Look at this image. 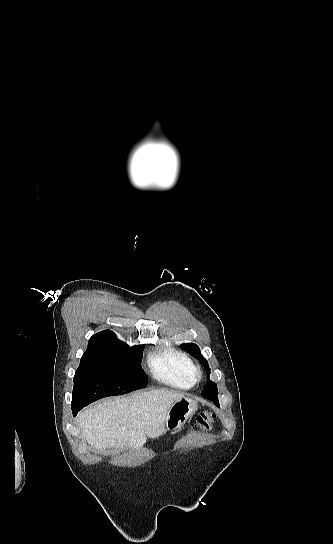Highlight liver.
<instances>
[{
    "label": "liver",
    "mask_w": 333,
    "mask_h": 544,
    "mask_svg": "<svg viewBox=\"0 0 333 544\" xmlns=\"http://www.w3.org/2000/svg\"><path fill=\"white\" fill-rule=\"evenodd\" d=\"M182 398L179 392L154 389L86 408L77 422L82 436L96 449L139 448L146 443V436L155 439L166 432L168 411Z\"/></svg>",
    "instance_id": "1"
}]
</instances>
